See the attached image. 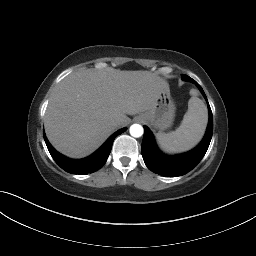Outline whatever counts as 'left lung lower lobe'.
<instances>
[{"label":"left lung lower lobe","instance_id":"0a47b994","mask_svg":"<svg viewBox=\"0 0 256 256\" xmlns=\"http://www.w3.org/2000/svg\"><path fill=\"white\" fill-rule=\"evenodd\" d=\"M187 80L195 83L198 86L201 93L203 94V96L205 97V99L207 100V97L201 86L189 76ZM208 111V127L201 143L195 149L176 156H168L163 154L158 149L152 132L149 130L148 127L144 126V137L141 149L142 156L146 166L154 173L169 177L181 176L191 171L205 155L212 138L213 115L209 103Z\"/></svg>","mask_w":256,"mask_h":256}]
</instances>
